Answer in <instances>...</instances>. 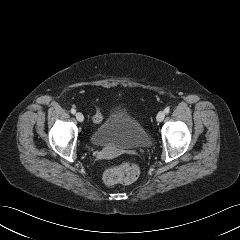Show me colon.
<instances>
[{"instance_id": "1", "label": "colon", "mask_w": 240, "mask_h": 240, "mask_svg": "<svg viewBox=\"0 0 240 240\" xmlns=\"http://www.w3.org/2000/svg\"><path fill=\"white\" fill-rule=\"evenodd\" d=\"M93 120L96 123H100L103 120V116L98 110L95 112ZM139 174V167L131 161H126L106 169L103 179L109 185L118 183L129 184L134 182L139 177Z\"/></svg>"}]
</instances>
